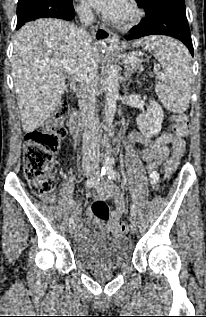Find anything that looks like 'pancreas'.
Masks as SVG:
<instances>
[{
  "instance_id": "obj_1",
  "label": "pancreas",
  "mask_w": 206,
  "mask_h": 317,
  "mask_svg": "<svg viewBox=\"0 0 206 317\" xmlns=\"http://www.w3.org/2000/svg\"><path fill=\"white\" fill-rule=\"evenodd\" d=\"M130 66H131L132 70L135 71V72L143 71V66L139 62H133V64H130Z\"/></svg>"
}]
</instances>
